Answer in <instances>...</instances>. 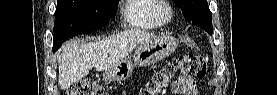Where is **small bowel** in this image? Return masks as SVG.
<instances>
[{
  "mask_svg": "<svg viewBox=\"0 0 277 95\" xmlns=\"http://www.w3.org/2000/svg\"><path fill=\"white\" fill-rule=\"evenodd\" d=\"M171 91L180 95H196L198 94V84L193 77L183 76L173 83Z\"/></svg>",
  "mask_w": 277,
  "mask_h": 95,
  "instance_id": "small-bowel-1",
  "label": "small bowel"
}]
</instances>
